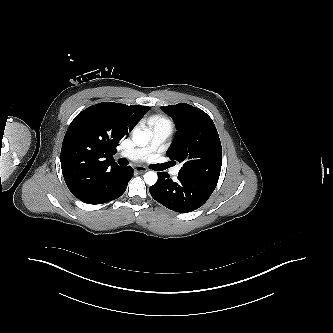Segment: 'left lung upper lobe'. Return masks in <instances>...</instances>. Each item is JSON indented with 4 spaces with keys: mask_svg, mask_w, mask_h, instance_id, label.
Wrapping results in <instances>:
<instances>
[{
    "mask_svg": "<svg viewBox=\"0 0 333 333\" xmlns=\"http://www.w3.org/2000/svg\"><path fill=\"white\" fill-rule=\"evenodd\" d=\"M162 110L171 116L177 128L166 155L183 164L178 174L218 182L222 147L209 115L186 103L165 106Z\"/></svg>",
    "mask_w": 333,
    "mask_h": 333,
    "instance_id": "obj_1",
    "label": "left lung upper lobe"
}]
</instances>
